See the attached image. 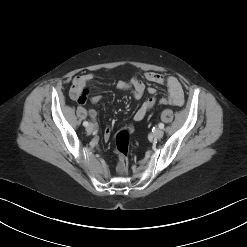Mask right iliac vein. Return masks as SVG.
<instances>
[{
  "mask_svg": "<svg viewBox=\"0 0 247 247\" xmlns=\"http://www.w3.org/2000/svg\"><path fill=\"white\" fill-rule=\"evenodd\" d=\"M95 129V126L93 124H89L86 128L87 132H92Z\"/></svg>",
  "mask_w": 247,
  "mask_h": 247,
  "instance_id": "63e3f726",
  "label": "right iliac vein"
}]
</instances>
